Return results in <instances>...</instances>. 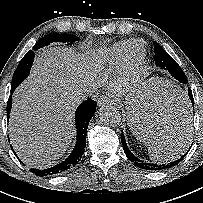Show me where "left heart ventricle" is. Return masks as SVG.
I'll use <instances>...</instances> for the list:
<instances>
[{
	"mask_svg": "<svg viewBox=\"0 0 203 203\" xmlns=\"http://www.w3.org/2000/svg\"><path fill=\"white\" fill-rule=\"evenodd\" d=\"M141 47L140 46H135L133 49V54L135 57H138L141 54Z\"/></svg>",
	"mask_w": 203,
	"mask_h": 203,
	"instance_id": "obj_1",
	"label": "left heart ventricle"
}]
</instances>
